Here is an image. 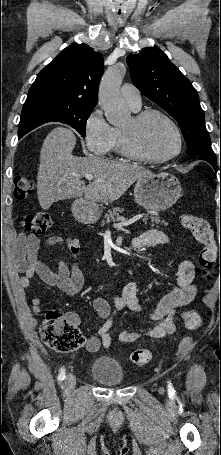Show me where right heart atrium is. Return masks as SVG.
Instances as JSON below:
<instances>
[{"label":"right heart atrium","instance_id":"d8ad5b80","mask_svg":"<svg viewBox=\"0 0 221 455\" xmlns=\"http://www.w3.org/2000/svg\"><path fill=\"white\" fill-rule=\"evenodd\" d=\"M84 142L87 150L95 155H105L112 147L113 128L99 110H94L85 121Z\"/></svg>","mask_w":221,"mask_h":455}]
</instances>
